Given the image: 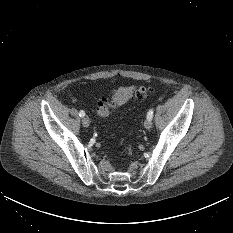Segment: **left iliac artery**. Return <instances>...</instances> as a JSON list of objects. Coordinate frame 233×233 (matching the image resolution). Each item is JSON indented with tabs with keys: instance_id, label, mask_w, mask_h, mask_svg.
<instances>
[{
	"instance_id": "left-iliac-artery-1",
	"label": "left iliac artery",
	"mask_w": 233,
	"mask_h": 233,
	"mask_svg": "<svg viewBox=\"0 0 233 233\" xmlns=\"http://www.w3.org/2000/svg\"><path fill=\"white\" fill-rule=\"evenodd\" d=\"M153 118V109H150L147 113V119H151Z\"/></svg>"
}]
</instances>
